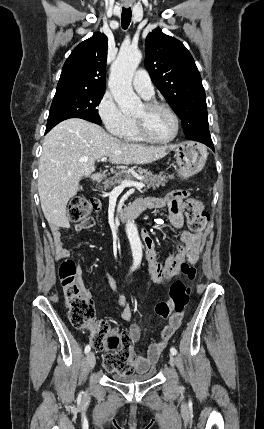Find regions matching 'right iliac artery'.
I'll return each instance as SVG.
<instances>
[{"label": "right iliac artery", "mask_w": 264, "mask_h": 429, "mask_svg": "<svg viewBox=\"0 0 264 429\" xmlns=\"http://www.w3.org/2000/svg\"><path fill=\"white\" fill-rule=\"evenodd\" d=\"M90 349H91L90 345H87V346L85 347V353L87 354V353L90 351Z\"/></svg>", "instance_id": "obj_1"}]
</instances>
